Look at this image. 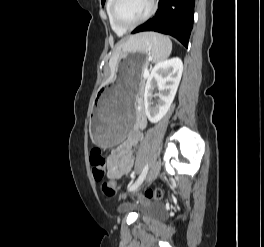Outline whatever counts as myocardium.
<instances>
[{
  "instance_id": "myocardium-1",
  "label": "myocardium",
  "mask_w": 264,
  "mask_h": 247,
  "mask_svg": "<svg viewBox=\"0 0 264 247\" xmlns=\"http://www.w3.org/2000/svg\"><path fill=\"white\" fill-rule=\"evenodd\" d=\"M119 3L120 0H113V4L111 7V16H112V20L114 22V24L125 30H132L140 25H142L143 23H145L148 19L151 18V16L154 14L155 10H156V1L155 0H149V9L147 11V13L138 21L132 23V24H125L122 23L119 18H118V7H119Z\"/></svg>"
}]
</instances>
